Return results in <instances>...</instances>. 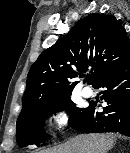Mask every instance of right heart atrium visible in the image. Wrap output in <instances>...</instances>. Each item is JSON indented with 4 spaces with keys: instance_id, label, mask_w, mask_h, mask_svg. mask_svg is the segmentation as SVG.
<instances>
[{
    "instance_id": "right-heart-atrium-1",
    "label": "right heart atrium",
    "mask_w": 130,
    "mask_h": 153,
    "mask_svg": "<svg viewBox=\"0 0 130 153\" xmlns=\"http://www.w3.org/2000/svg\"><path fill=\"white\" fill-rule=\"evenodd\" d=\"M71 121V114L64 107L55 108L50 114V122L53 129L61 132L68 127Z\"/></svg>"
}]
</instances>
